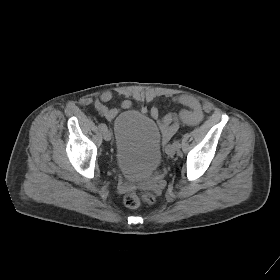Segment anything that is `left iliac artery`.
I'll return each mask as SVG.
<instances>
[{
	"label": "left iliac artery",
	"instance_id": "left-iliac-artery-1",
	"mask_svg": "<svg viewBox=\"0 0 280 280\" xmlns=\"http://www.w3.org/2000/svg\"><path fill=\"white\" fill-rule=\"evenodd\" d=\"M173 145L176 147V148H179L180 147V143H179V141H174L173 142Z\"/></svg>",
	"mask_w": 280,
	"mask_h": 280
}]
</instances>
